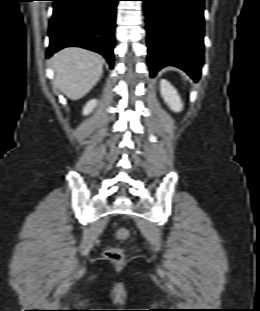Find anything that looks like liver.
I'll list each match as a JSON object with an SVG mask.
<instances>
[{
	"label": "liver",
	"instance_id": "6515ba94",
	"mask_svg": "<svg viewBox=\"0 0 260 311\" xmlns=\"http://www.w3.org/2000/svg\"><path fill=\"white\" fill-rule=\"evenodd\" d=\"M51 66L55 73L54 84L71 100L85 96L103 73L100 56L77 47L56 53L51 59Z\"/></svg>",
	"mask_w": 260,
	"mask_h": 311
}]
</instances>
